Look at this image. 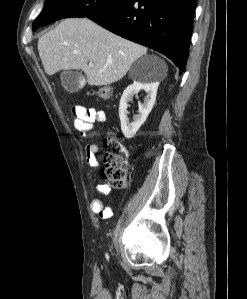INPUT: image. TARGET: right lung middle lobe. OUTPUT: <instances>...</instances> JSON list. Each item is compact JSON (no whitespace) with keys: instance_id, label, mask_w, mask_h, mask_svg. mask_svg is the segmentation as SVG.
Here are the masks:
<instances>
[{"instance_id":"1","label":"right lung middle lobe","mask_w":247,"mask_h":299,"mask_svg":"<svg viewBox=\"0 0 247 299\" xmlns=\"http://www.w3.org/2000/svg\"><path fill=\"white\" fill-rule=\"evenodd\" d=\"M125 0H46L42 12L33 22V30L67 17H88L107 11Z\"/></svg>"}]
</instances>
